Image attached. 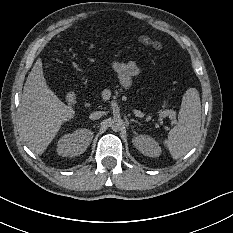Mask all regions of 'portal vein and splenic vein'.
I'll return each instance as SVG.
<instances>
[{
    "instance_id": "1",
    "label": "portal vein and splenic vein",
    "mask_w": 233,
    "mask_h": 233,
    "mask_svg": "<svg viewBox=\"0 0 233 233\" xmlns=\"http://www.w3.org/2000/svg\"><path fill=\"white\" fill-rule=\"evenodd\" d=\"M134 114L137 116V117H144V113H142L141 111H139V110H134ZM172 125L173 124H176L177 123V121L174 119V120H172Z\"/></svg>"
}]
</instances>
